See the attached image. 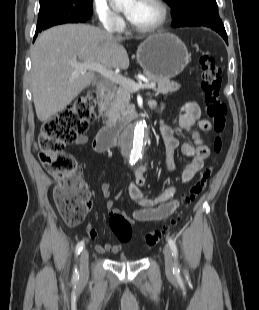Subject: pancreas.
Masks as SVG:
<instances>
[{
	"mask_svg": "<svg viewBox=\"0 0 259 310\" xmlns=\"http://www.w3.org/2000/svg\"><path fill=\"white\" fill-rule=\"evenodd\" d=\"M146 78L156 83L157 87L154 91L159 94H168L176 92L180 88V84L171 82L169 79L159 78L144 73ZM131 91L123 86H114L113 91L106 97L107 110L104 114L106 122L116 123L127 121L131 117L134 105L130 104Z\"/></svg>",
	"mask_w": 259,
	"mask_h": 310,
	"instance_id": "obj_1",
	"label": "pancreas"
}]
</instances>
